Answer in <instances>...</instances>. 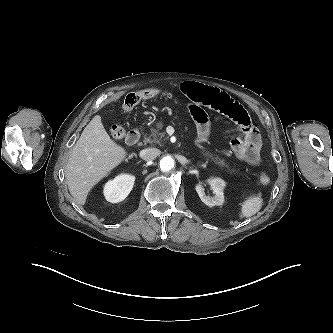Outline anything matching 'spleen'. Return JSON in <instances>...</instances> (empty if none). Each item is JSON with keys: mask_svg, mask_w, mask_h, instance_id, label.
Wrapping results in <instances>:
<instances>
[{"mask_svg": "<svg viewBox=\"0 0 333 333\" xmlns=\"http://www.w3.org/2000/svg\"><path fill=\"white\" fill-rule=\"evenodd\" d=\"M262 199L252 196L245 200L242 204L240 217H251L256 214L262 207Z\"/></svg>", "mask_w": 333, "mask_h": 333, "instance_id": "obj_1", "label": "spleen"}]
</instances>
